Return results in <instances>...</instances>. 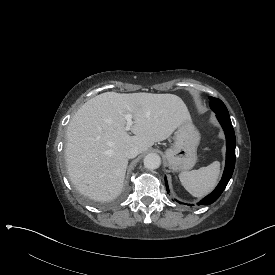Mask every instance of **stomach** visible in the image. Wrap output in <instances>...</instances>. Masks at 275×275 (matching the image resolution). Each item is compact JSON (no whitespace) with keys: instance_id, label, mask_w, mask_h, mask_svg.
Segmentation results:
<instances>
[{"instance_id":"1","label":"stomach","mask_w":275,"mask_h":275,"mask_svg":"<svg viewBox=\"0 0 275 275\" xmlns=\"http://www.w3.org/2000/svg\"><path fill=\"white\" fill-rule=\"evenodd\" d=\"M174 140L173 146L165 153L169 167L174 171L190 170L196 163V150L200 142V133L190 116L178 126Z\"/></svg>"}]
</instances>
